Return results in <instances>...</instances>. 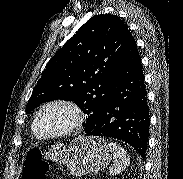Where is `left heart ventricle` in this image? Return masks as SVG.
<instances>
[{
  "instance_id": "b2bd125f",
  "label": "left heart ventricle",
  "mask_w": 183,
  "mask_h": 179,
  "mask_svg": "<svg viewBox=\"0 0 183 179\" xmlns=\"http://www.w3.org/2000/svg\"><path fill=\"white\" fill-rule=\"evenodd\" d=\"M73 122L72 112L63 106H52L44 111L40 127L44 133H56L68 128Z\"/></svg>"
}]
</instances>
